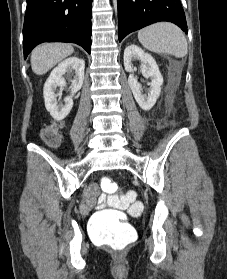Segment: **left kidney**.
<instances>
[{
	"label": "left kidney",
	"instance_id": "left-kidney-1",
	"mask_svg": "<svg viewBox=\"0 0 227 279\" xmlns=\"http://www.w3.org/2000/svg\"><path fill=\"white\" fill-rule=\"evenodd\" d=\"M138 59L141 61V72L145 78H151L150 90L148 95L142 94V86L134 76L135 68L132 61ZM124 67L129 72L128 83L138 105L145 111L150 110L160 96L163 77L155 59L148 53H145L137 45H129L124 50Z\"/></svg>",
	"mask_w": 227,
	"mask_h": 279
}]
</instances>
